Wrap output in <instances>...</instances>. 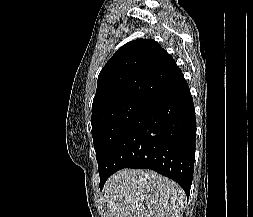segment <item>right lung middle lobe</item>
<instances>
[{"instance_id":"1","label":"right lung middle lobe","mask_w":253,"mask_h":217,"mask_svg":"<svg viewBox=\"0 0 253 217\" xmlns=\"http://www.w3.org/2000/svg\"><path fill=\"white\" fill-rule=\"evenodd\" d=\"M148 102L144 98H127L109 104L92 115V137L100 177L105 172L114 145Z\"/></svg>"}]
</instances>
